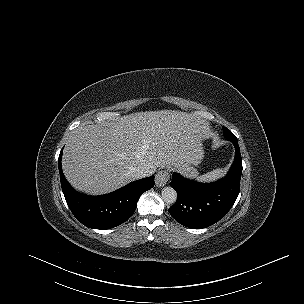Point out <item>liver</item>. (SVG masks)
Segmentation results:
<instances>
[{
    "mask_svg": "<svg viewBox=\"0 0 304 304\" xmlns=\"http://www.w3.org/2000/svg\"><path fill=\"white\" fill-rule=\"evenodd\" d=\"M205 131L202 121L176 110L139 112L107 125L80 126L67 140L63 172L81 192L109 193L135 180L138 166L179 169L202 151Z\"/></svg>",
    "mask_w": 304,
    "mask_h": 304,
    "instance_id": "obj_1",
    "label": "liver"
}]
</instances>
